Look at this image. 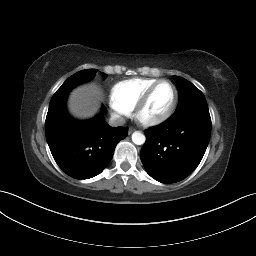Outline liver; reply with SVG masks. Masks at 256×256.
<instances>
[{"label": "liver", "instance_id": "6515ba94", "mask_svg": "<svg viewBox=\"0 0 256 256\" xmlns=\"http://www.w3.org/2000/svg\"><path fill=\"white\" fill-rule=\"evenodd\" d=\"M103 98L101 89L95 84L79 86L69 97V111L78 118L92 117L99 108Z\"/></svg>", "mask_w": 256, "mask_h": 256}]
</instances>
